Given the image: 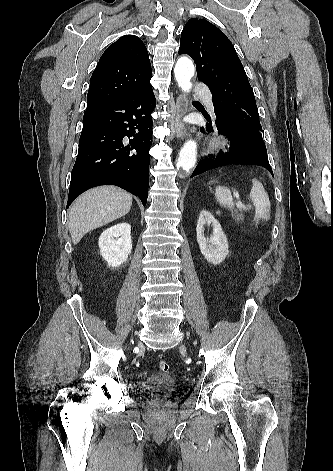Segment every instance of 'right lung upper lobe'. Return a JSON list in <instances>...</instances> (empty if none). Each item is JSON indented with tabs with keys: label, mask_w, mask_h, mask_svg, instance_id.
<instances>
[{
	"label": "right lung upper lobe",
	"mask_w": 333,
	"mask_h": 471,
	"mask_svg": "<svg viewBox=\"0 0 333 471\" xmlns=\"http://www.w3.org/2000/svg\"><path fill=\"white\" fill-rule=\"evenodd\" d=\"M147 49L140 38L124 35L101 56L90 81L87 109L122 98L151 79Z\"/></svg>",
	"instance_id": "cb5924a9"
}]
</instances>
